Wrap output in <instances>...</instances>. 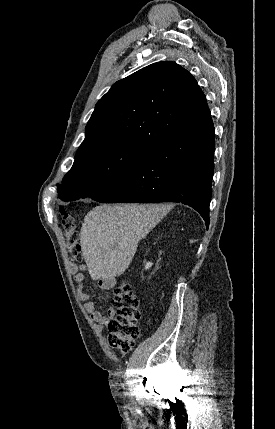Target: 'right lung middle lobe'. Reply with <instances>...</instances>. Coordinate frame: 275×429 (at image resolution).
<instances>
[{"label":"right lung middle lobe","instance_id":"1","mask_svg":"<svg viewBox=\"0 0 275 429\" xmlns=\"http://www.w3.org/2000/svg\"><path fill=\"white\" fill-rule=\"evenodd\" d=\"M150 152L127 145L106 147L74 161L58 186L65 201L92 197L108 189L135 170Z\"/></svg>","mask_w":275,"mask_h":429}]
</instances>
